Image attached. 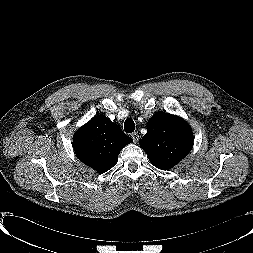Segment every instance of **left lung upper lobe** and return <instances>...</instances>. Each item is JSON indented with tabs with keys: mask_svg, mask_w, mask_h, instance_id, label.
I'll list each match as a JSON object with an SVG mask.
<instances>
[{
	"mask_svg": "<svg viewBox=\"0 0 253 253\" xmlns=\"http://www.w3.org/2000/svg\"><path fill=\"white\" fill-rule=\"evenodd\" d=\"M193 134L182 118L165 112L155 113L147 123V133L140 146L147 153L152 165L168 170L190 152Z\"/></svg>",
	"mask_w": 253,
	"mask_h": 253,
	"instance_id": "obj_1",
	"label": "left lung upper lobe"
}]
</instances>
